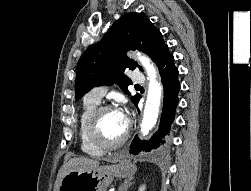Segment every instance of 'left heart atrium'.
Returning <instances> with one entry per match:
<instances>
[{
	"mask_svg": "<svg viewBox=\"0 0 251 191\" xmlns=\"http://www.w3.org/2000/svg\"><path fill=\"white\" fill-rule=\"evenodd\" d=\"M115 116L117 119L124 125H126L127 122V116H126V109L124 107H118L114 111Z\"/></svg>",
	"mask_w": 251,
	"mask_h": 191,
	"instance_id": "1",
	"label": "left heart atrium"
}]
</instances>
